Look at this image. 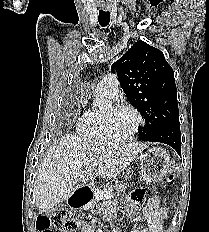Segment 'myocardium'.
<instances>
[{
  "label": "myocardium",
  "mask_w": 209,
  "mask_h": 232,
  "mask_svg": "<svg viewBox=\"0 0 209 232\" xmlns=\"http://www.w3.org/2000/svg\"><path fill=\"white\" fill-rule=\"evenodd\" d=\"M121 110H126V111L131 112L136 118V124H135L134 129L132 130L131 133H129L126 136L120 137V136L113 135L111 130H110L109 111H121ZM142 124H143V117H142L141 113L135 107H133L131 105H127V104L113 105L110 107V109L108 111L103 113V116H102V127H103L104 135H105L106 139L112 140V141L131 140L137 134V132L141 128Z\"/></svg>",
  "instance_id": "f54148a6"
}]
</instances>
